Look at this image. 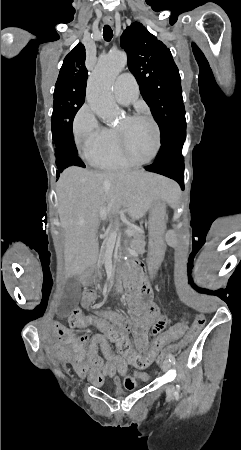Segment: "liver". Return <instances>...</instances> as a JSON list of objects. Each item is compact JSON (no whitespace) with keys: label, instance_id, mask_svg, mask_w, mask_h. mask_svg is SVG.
<instances>
[{"label":"liver","instance_id":"liver-1","mask_svg":"<svg viewBox=\"0 0 241 450\" xmlns=\"http://www.w3.org/2000/svg\"><path fill=\"white\" fill-rule=\"evenodd\" d=\"M168 178L150 172H93L71 166L56 184L58 214L65 230L67 274H82L97 262L101 220L120 208L132 220L143 218L155 200H166ZM109 208V210H108Z\"/></svg>","mask_w":241,"mask_h":450}]
</instances>
